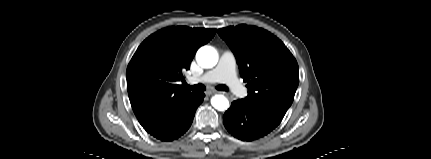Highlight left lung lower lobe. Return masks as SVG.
I'll return each mask as SVG.
<instances>
[{
	"instance_id": "left-lung-lower-lobe-1",
	"label": "left lung lower lobe",
	"mask_w": 431,
	"mask_h": 159,
	"mask_svg": "<svg viewBox=\"0 0 431 159\" xmlns=\"http://www.w3.org/2000/svg\"><path fill=\"white\" fill-rule=\"evenodd\" d=\"M282 119L269 110L248 105L243 99L234 101L223 115V123L229 133L243 141L267 135Z\"/></svg>"
}]
</instances>
